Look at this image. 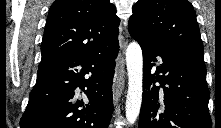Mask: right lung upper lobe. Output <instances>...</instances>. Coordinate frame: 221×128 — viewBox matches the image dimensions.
<instances>
[{"label":"right lung upper lobe","mask_w":221,"mask_h":128,"mask_svg":"<svg viewBox=\"0 0 221 128\" xmlns=\"http://www.w3.org/2000/svg\"><path fill=\"white\" fill-rule=\"evenodd\" d=\"M120 19L109 0H56L51 5L39 68L72 55L96 52L118 41Z\"/></svg>","instance_id":"cb5924a9"}]
</instances>
